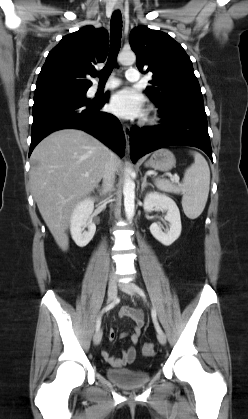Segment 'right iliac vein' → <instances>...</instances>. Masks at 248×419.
Wrapping results in <instances>:
<instances>
[{"label": "right iliac vein", "mask_w": 248, "mask_h": 419, "mask_svg": "<svg viewBox=\"0 0 248 419\" xmlns=\"http://www.w3.org/2000/svg\"><path fill=\"white\" fill-rule=\"evenodd\" d=\"M117 283L115 280L111 279L108 283V301L112 302L115 300L116 296H117ZM102 339V330L99 329L95 332L94 336H93V342L95 345L100 344Z\"/></svg>", "instance_id": "63e3f726"}]
</instances>
